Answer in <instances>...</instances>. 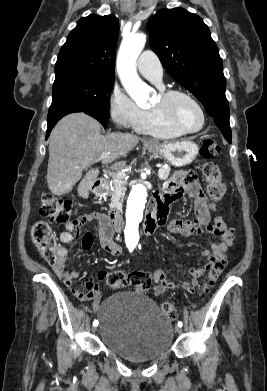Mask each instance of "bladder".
Here are the masks:
<instances>
[{"instance_id": "obj_1", "label": "bladder", "mask_w": 267, "mask_h": 391, "mask_svg": "<svg viewBox=\"0 0 267 391\" xmlns=\"http://www.w3.org/2000/svg\"><path fill=\"white\" fill-rule=\"evenodd\" d=\"M97 317L103 345L128 361L155 360L172 347L171 320L142 293L122 291L109 296Z\"/></svg>"}]
</instances>
